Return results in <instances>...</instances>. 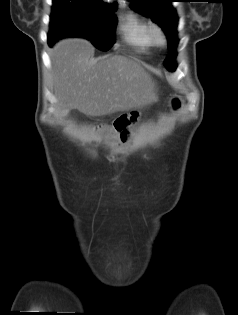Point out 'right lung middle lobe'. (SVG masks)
Wrapping results in <instances>:
<instances>
[{
    "label": "right lung middle lobe",
    "mask_w": 238,
    "mask_h": 315,
    "mask_svg": "<svg viewBox=\"0 0 238 315\" xmlns=\"http://www.w3.org/2000/svg\"><path fill=\"white\" fill-rule=\"evenodd\" d=\"M116 9L85 0H53L49 46L64 37H82L100 50H109L115 40Z\"/></svg>",
    "instance_id": "dd1d6c3e"
}]
</instances>
